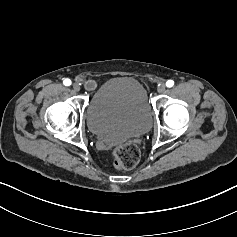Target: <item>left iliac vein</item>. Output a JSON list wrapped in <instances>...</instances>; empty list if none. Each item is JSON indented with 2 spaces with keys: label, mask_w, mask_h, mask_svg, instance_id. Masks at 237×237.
<instances>
[{
  "label": "left iliac vein",
  "mask_w": 237,
  "mask_h": 237,
  "mask_svg": "<svg viewBox=\"0 0 237 237\" xmlns=\"http://www.w3.org/2000/svg\"><path fill=\"white\" fill-rule=\"evenodd\" d=\"M158 93L162 94L165 93L166 91V86L164 84L159 85V87L157 88Z\"/></svg>",
  "instance_id": "left-iliac-vein-1"
}]
</instances>
